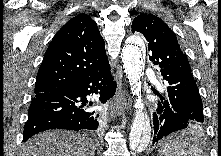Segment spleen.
Returning <instances> with one entry per match:
<instances>
[{
	"label": "spleen",
	"instance_id": "3e777b00",
	"mask_svg": "<svg viewBox=\"0 0 221 156\" xmlns=\"http://www.w3.org/2000/svg\"><path fill=\"white\" fill-rule=\"evenodd\" d=\"M161 156H201V151L181 138L170 140L160 150Z\"/></svg>",
	"mask_w": 221,
	"mask_h": 156
}]
</instances>
